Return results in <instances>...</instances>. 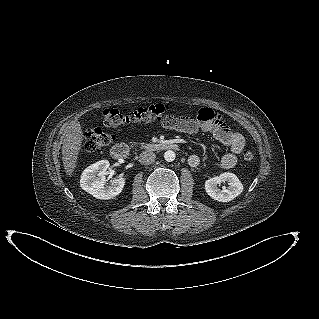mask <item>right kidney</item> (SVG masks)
I'll return each mask as SVG.
<instances>
[{
  "label": "right kidney",
  "mask_w": 319,
  "mask_h": 319,
  "mask_svg": "<svg viewBox=\"0 0 319 319\" xmlns=\"http://www.w3.org/2000/svg\"><path fill=\"white\" fill-rule=\"evenodd\" d=\"M109 166L108 160H101L84 169L80 179L82 189L97 199L108 200L119 195L124 188L125 178L113 179L110 185H106Z\"/></svg>",
  "instance_id": "right-kidney-1"
}]
</instances>
